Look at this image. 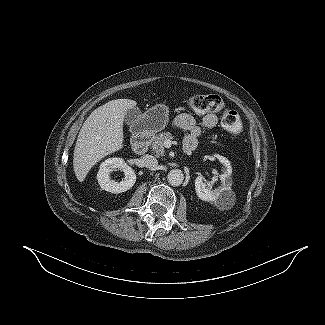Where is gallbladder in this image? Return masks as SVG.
Listing matches in <instances>:
<instances>
[{
	"label": "gallbladder",
	"mask_w": 325,
	"mask_h": 325,
	"mask_svg": "<svg viewBox=\"0 0 325 325\" xmlns=\"http://www.w3.org/2000/svg\"><path fill=\"white\" fill-rule=\"evenodd\" d=\"M141 112L138 107H133L131 109H128V111L125 114V122L128 125H132L140 116Z\"/></svg>",
	"instance_id": "bac80fb5"
}]
</instances>
